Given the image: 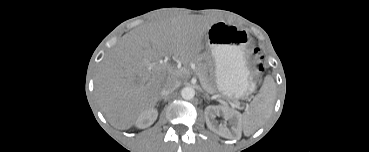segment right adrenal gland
Segmentation results:
<instances>
[{
    "instance_id": "2a0ac1e0",
    "label": "right adrenal gland",
    "mask_w": 369,
    "mask_h": 152,
    "mask_svg": "<svg viewBox=\"0 0 369 152\" xmlns=\"http://www.w3.org/2000/svg\"><path fill=\"white\" fill-rule=\"evenodd\" d=\"M162 99L164 100V103L167 101V97H160V98H159V102H160Z\"/></svg>"
}]
</instances>
